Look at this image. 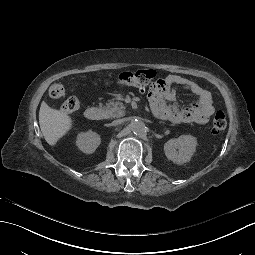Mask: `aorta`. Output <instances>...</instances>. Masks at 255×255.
<instances>
[{"label": "aorta", "instance_id": "obj_1", "mask_svg": "<svg viewBox=\"0 0 255 255\" xmlns=\"http://www.w3.org/2000/svg\"><path fill=\"white\" fill-rule=\"evenodd\" d=\"M145 123L141 120H136L131 123V129L135 134H142L145 131Z\"/></svg>", "mask_w": 255, "mask_h": 255}]
</instances>
